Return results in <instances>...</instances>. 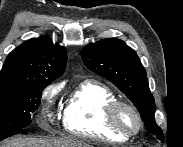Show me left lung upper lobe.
<instances>
[{
    "instance_id": "left-lung-upper-lobe-1",
    "label": "left lung upper lobe",
    "mask_w": 183,
    "mask_h": 147,
    "mask_svg": "<svg viewBox=\"0 0 183 147\" xmlns=\"http://www.w3.org/2000/svg\"><path fill=\"white\" fill-rule=\"evenodd\" d=\"M81 57L91 71L110 80L134 103L146 129L162 141L163 132L155 123L154 97L136 52L122 40L108 38L86 45Z\"/></svg>"
}]
</instances>
